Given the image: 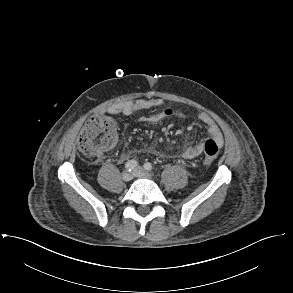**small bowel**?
I'll use <instances>...</instances> for the list:
<instances>
[{
	"instance_id": "obj_1",
	"label": "small bowel",
	"mask_w": 293,
	"mask_h": 293,
	"mask_svg": "<svg viewBox=\"0 0 293 293\" xmlns=\"http://www.w3.org/2000/svg\"><path fill=\"white\" fill-rule=\"evenodd\" d=\"M160 106L161 104L153 99H137V100L125 101L118 104H113L107 109V112L112 115L130 116L134 112L147 110V109L160 107ZM170 114H172L171 109H164L163 111L155 115L145 117L143 121L145 123L155 124L160 122L161 120H163ZM198 119L202 124L206 126L209 138L215 140L219 146H222L224 144V139L220 131V128L215 123V121L207 114L198 115ZM204 148H205V142L200 141L195 145L186 147L182 152V156L186 159H193L199 156L200 154H202V152L204 151Z\"/></svg>"
}]
</instances>
